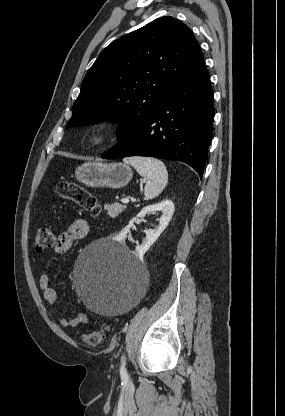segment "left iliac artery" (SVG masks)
<instances>
[{
	"label": "left iliac artery",
	"mask_w": 285,
	"mask_h": 416,
	"mask_svg": "<svg viewBox=\"0 0 285 416\" xmlns=\"http://www.w3.org/2000/svg\"><path fill=\"white\" fill-rule=\"evenodd\" d=\"M120 376L122 380H128V373L126 370V358L124 355L121 357Z\"/></svg>",
	"instance_id": "1"
}]
</instances>
